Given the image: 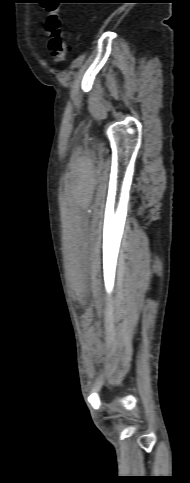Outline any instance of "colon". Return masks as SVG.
Returning <instances> with one entry per match:
<instances>
[{
    "mask_svg": "<svg viewBox=\"0 0 190 483\" xmlns=\"http://www.w3.org/2000/svg\"><path fill=\"white\" fill-rule=\"evenodd\" d=\"M49 37L47 47L56 62H63L68 52V44L65 39L62 17L58 8L51 10L45 25Z\"/></svg>",
    "mask_w": 190,
    "mask_h": 483,
    "instance_id": "5ec220e1",
    "label": "colon"
}]
</instances>
